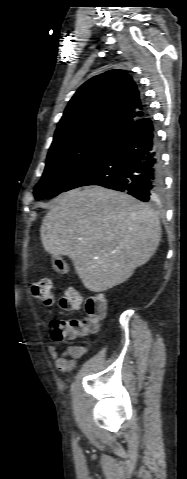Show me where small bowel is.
Instances as JSON below:
<instances>
[{"instance_id": "1", "label": "small bowel", "mask_w": 187, "mask_h": 479, "mask_svg": "<svg viewBox=\"0 0 187 479\" xmlns=\"http://www.w3.org/2000/svg\"><path fill=\"white\" fill-rule=\"evenodd\" d=\"M59 321L60 320H52L51 325L56 326ZM47 350L54 367L61 372L72 370L77 360L89 352L88 348L76 344L68 345L61 353H58L55 345H49Z\"/></svg>"}]
</instances>
